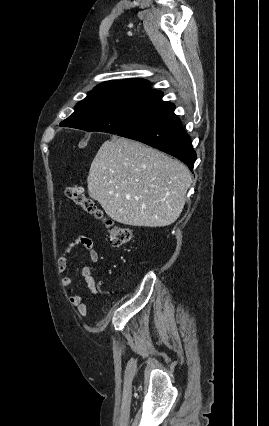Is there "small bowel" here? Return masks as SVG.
Segmentation results:
<instances>
[{
	"mask_svg": "<svg viewBox=\"0 0 269 426\" xmlns=\"http://www.w3.org/2000/svg\"><path fill=\"white\" fill-rule=\"evenodd\" d=\"M78 245L83 247L86 255L88 256L91 262L90 265L83 267L81 271V275L88 289L90 290L92 295L95 296L98 294V288L100 286V282L96 281L95 278L93 277V272L96 269V263L98 261V254L96 250L94 249L93 241L90 237L79 236L74 241L70 242L69 245L63 251L62 255L59 257L57 262V268L59 273L61 274H65L67 272V267H68L67 255ZM72 283H73V280L71 276L67 274L63 276L61 280V284L64 289L69 291V294H68L69 303L76 308L77 313L79 315L85 316L89 313V306L86 303H84L82 300V297L73 290Z\"/></svg>",
	"mask_w": 269,
	"mask_h": 426,
	"instance_id": "small-bowel-1",
	"label": "small bowel"
}]
</instances>
